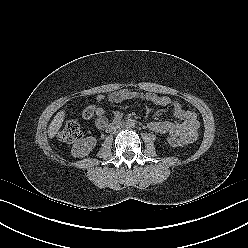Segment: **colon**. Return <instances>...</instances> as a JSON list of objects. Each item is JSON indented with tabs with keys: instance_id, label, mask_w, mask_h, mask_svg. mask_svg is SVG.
Instances as JSON below:
<instances>
[{
	"instance_id": "obj_1",
	"label": "colon",
	"mask_w": 248,
	"mask_h": 248,
	"mask_svg": "<svg viewBox=\"0 0 248 248\" xmlns=\"http://www.w3.org/2000/svg\"><path fill=\"white\" fill-rule=\"evenodd\" d=\"M94 113L95 107L93 105H88L82 110V117L89 119L94 115ZM81 137V127L79 122L76 120H69L58 133V138L67 143L78 141ZM167 141L172 147H180L185 144V141L177 136H170Z\"/></svg>"
}]
</instances>
